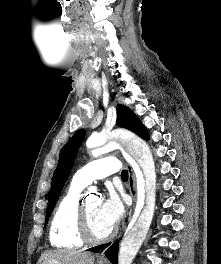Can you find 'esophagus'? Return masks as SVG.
Wrapping results in <instances>:
<instances>
[{"label":"esophagus","instance_id":"esophagus-1","mask_svg":"<svg viewBox=\"0 0 221 264\" xmlns=\"http://www.w3.org/2000/svg\"><path fill=\"white\" fill-rule=\"evenodd\" d=\"M128 172H129V179H128V185L127 186H128L129 193L133 198V204H132L130 211H129V220H130L133 213H134L135 207H136V181H135V175H134L133 169L131 167L128 168ZM97 259L99 262H102V263H105L107 261L105 255H104V252H102L98 256Z\"/></svg>","mask_w":221,"mask_h":264}]
</instances>
